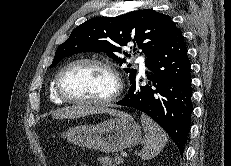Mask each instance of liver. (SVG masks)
<instances>
[{
  "label": "liver",
  "instance_id": "1",
  "mask_svg": "<svg viewBox=\"0 0 231 166\" xmlns=\"http://www.w3.org/2000/svg\"><path fill=\"white\" fill-rule=\"evenodd\" d=\"M97 113H108L109 115L117 116L123 112L114 109H109L107 107L72 106V107L57 109L56 111L53 112L52 116L53 118L56 119H63V118L74 119V118L84 117L86 115L97 114Z\"/></svg>",
  "mask_w": 231,
  "mask_h": 166
}]
</instances>
